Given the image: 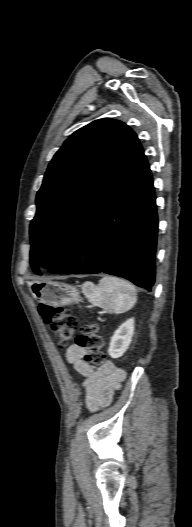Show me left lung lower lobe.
I'll use <instances>...</instances> for the list:
<instances>
[{
	"label": "left lung lower lobe",
	"instance_id": "left-lung-lower-lobe-1",
	"mask_svg": "<svg viewBox=\"0 0 192 527\" xmlns=\"http://www.w3.org/2000/svg\"><path fill=\"white\" fill-rule=\"evenodd\" d=\"M157 230L153 180L143 153L92 211L49 272H105L151 291Z\"/></svg>",
	"mask_w": 192,
	"mask_h": 527
}]
</instances>
